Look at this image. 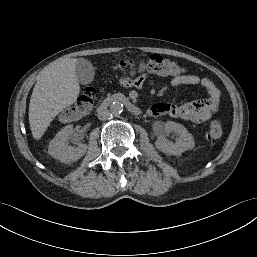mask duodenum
Returning <instances> with one entry per match:
<instances>
[{
    "mask_svg": "<svg viewBox=\"0 0 257 257\" xmlns=\"http://www.w3.org/2000/svg\"><path fill=\"white\" fill-rule=\"evenodd\" d=\"M114 102H120L124 104L126 108L134 115H139L141 113L140 108L135 103H133L128 97L122 94H114L109 97H106L99 103L98 109H105Z\"/></svg>",
    "mask_w": 257,
    "mask_h": 257,
    "instance_id": "1",
    "label": "duodenum"
}]
</instances>
